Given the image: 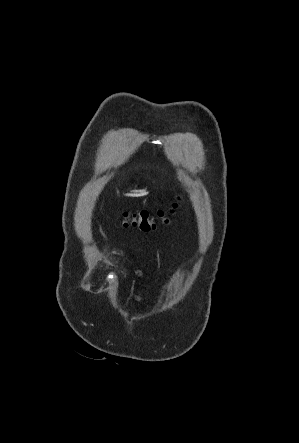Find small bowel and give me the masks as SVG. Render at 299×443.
Listing matches in <instances>:
<instances>
[{
    "mask_svg": "<svg viewBox=\"0 0 299 443\" xmlns=\"http://www.w3.org/2000/svg\"><path fill=\"white\" fill-rule=\"evenodd\" d=\"M136 273H137L138 275L141 274L140 271H137ZM134 299H135L136 301H139V300L141 299V296H140V295H136V296L134 297Z\"/></svg>",
    "mask_w": 299,
    "mask_h": 443,
    "instance_id": "obj_1",
    "label": "small bowel"
}]
</instances>
